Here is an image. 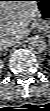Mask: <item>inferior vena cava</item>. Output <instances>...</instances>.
<instances>
[{
  "label": "inferior vena cava",
  "instance_id": "1",
  "mask_svg": "<svg viewBox=\"0 0 50 111\" xmlns=\"http://www.w3.org/2000/svg\"><path fill=\"white\" fill-rule=\"evenodd\" d=\"M20 36L15 35V36H4L2 38V47L3 46H11L16 44L20 40Z\"/></svg>",
  "mask_w": 50,
  "mask_h": 111
}]
</instances>
